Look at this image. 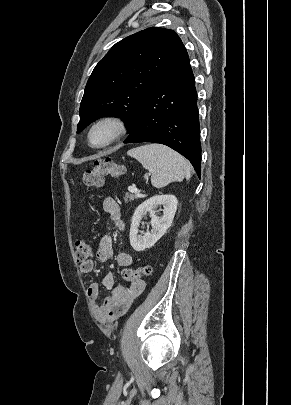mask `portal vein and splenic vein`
I'll use <instances>...</instances> for the list:
<instances>
[{"mask_svg":"<svg viewBox=\"0 0 291 405\" xmlns=\"http://www.w3.org/2000/svg\"><path fill=\"white\" fill-rule=\"evenodd\" d=\"M128 190H129L130 192L136 194V195H139V194H140V190L137 189L135 186H129V187H128Z\"/></svg>","mask_w":291,"mask_h":405,"instance_id":"portal-vein-and-splenic-vein-1","label":"portal vein and splenic vein"}]
</instances>
